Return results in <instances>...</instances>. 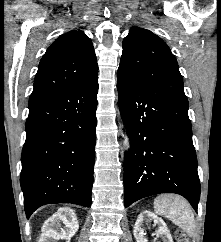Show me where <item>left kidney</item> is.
I'll use <instances>...</instances> for the list:
<instances>
[{
	"instance_id": "obj_1",
	"label": "left kidney",
	"mask_w": 221,
	"mask_h": 242,
	"mask_svg": "<svg viewBox=\"0 0 221 242\" xmlns=\"http://www.w3.org/2000/svg\"><path fill=\"white\" fill-rule=\"evenodd\" d=\"M146 221H153L154 225L158 226V229L156 230V236L162 237L163 242H173L172 236L170 234V231L166 225V223L152 213L151 211H143L139 214L135 226H134V237L136 239V242H147V239L145 238V233L143 229V222Z\"/></svg>"
}]
</instances>
